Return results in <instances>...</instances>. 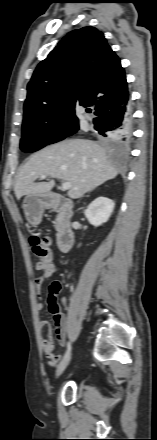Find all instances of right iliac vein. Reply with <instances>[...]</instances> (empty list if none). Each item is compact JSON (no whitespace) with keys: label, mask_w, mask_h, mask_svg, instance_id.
Wrapping results in <instances>:
<instances>
[{"label":"right iliac vein","mask_w":157,"mask_h":440,"mask_svg":"<svg viewBox=\"0 0 157 440\" xmlns=\"http://www.w3.org/2000/svg\"><path fill=\"white\" fill-rule=\"evenodd\" d=\"M71 360V354H69L57 367L56 369V377H59L63 371L66 369V367L68 366L69 362Z\"/></svg>","instance_id":"63e3f726"}]
</instances>
